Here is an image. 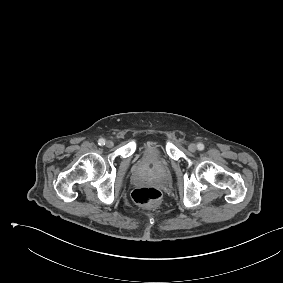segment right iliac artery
I'll return each mask as SVG.
<instances>
[{
	"mask_svg": "<svg viewBox=\"0 0 283 283\" xmlns=\"http://www.w3.org/2000/svg\"><path fill=\"white\" fill-rule=\"evenodd\" d=\"M98 144H99L100 146L105 145V139L100 138V139L98 140Z\"/></svg>",
	"mask_w": 283,
	"mask_h": 283,
	"instance_id": "right-iliac-artery-1",
	"label": "right iliac artery"
}]
</instances>
